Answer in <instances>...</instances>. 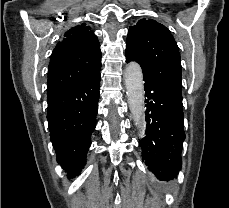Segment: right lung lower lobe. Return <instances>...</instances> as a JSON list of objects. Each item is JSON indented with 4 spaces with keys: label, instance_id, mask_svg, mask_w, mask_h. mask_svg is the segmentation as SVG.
I'll use <instances>...</instances> for the list:
<instances>
[{
    "label": "right lung lower lobe",
    "instance_id": "1",
    "mask_svg": "<svg viewBox=\"0 0 229 208\" xmlns=\"http://www.w3.org/2000/svg\"><path fill=\"white\" fill-rule=\"evenodd\" d=\"M100 68L91 77L47 98V120L57 162L69 177L86 162L91 134L96 127Z\"/></svg>",
    "mask_w": 229,
    "mask_h": 208
}]
</instances>
